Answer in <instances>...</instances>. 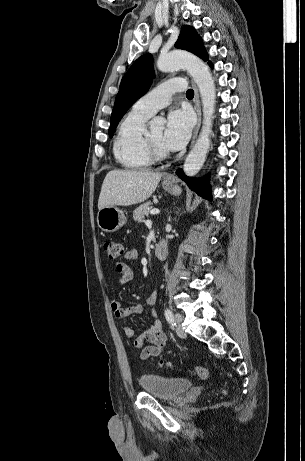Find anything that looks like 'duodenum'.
I'll return each instance as SVG.
<instances>
[{
  "instance_id": "1",
  "label": "duodenum",
  "mask_w": 305,
  "mask_h": 461,
  "mask_svg": "<svg viewBox=\"0 0 305 461\" xmlns=\"http://www.w3.org/2000/svg\"><path fill=\"white\" fill-rule=\"evenodd\" d=\"M168 253V246L165 241H159L154 249L155 258L159 261L166 259Z\"/></svg>"
}]
</instances>
